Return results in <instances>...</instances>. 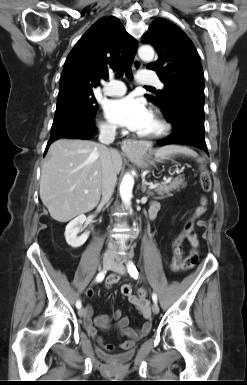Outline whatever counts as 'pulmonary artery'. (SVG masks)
<instances>
[{"mask_svg":"<svg viewBox=\"0 0 247 385\" xmlns=\"http://www.w3.org/2000/svg\"><path fill=\"white\" fill-rule=\"evenodd\" d=\"M137 81L143 84L155 85L160 88L163 86L157 76L146 70L137 75ZM102 91L109 96H120L126 92V86L121 81L111 80L103 87Z\"/></svg>","mask_w":247,"mask_h":385,"instance_id":"obj_1","label":"pulmonary artery"}]
</instances>
